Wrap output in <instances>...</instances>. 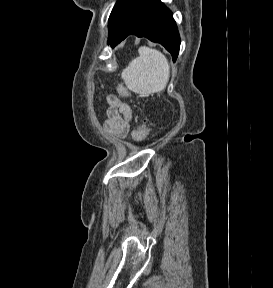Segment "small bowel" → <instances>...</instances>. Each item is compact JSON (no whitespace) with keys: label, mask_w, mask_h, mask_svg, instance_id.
<instances>
[{"label":"small bowel","mask_w":273,"mask_h":288,"mask_svg":"<svg viewBox=\"0 0 273 288\" xmlns=\"http://www.w3.org/2000/svg\"><path fill=\"white\" fill-rule=\"evenodd\" d=\"M107 110L104 129L117 138H124L129 133L132 120L131 107L116 95L106 97Z\"/></svg>","instance_id":"small-bowel-1"}]
</instances>
